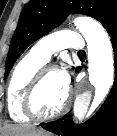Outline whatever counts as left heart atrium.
<instances>
[{
  "mask_svg": "<svg viewBox=\"0 0 117 136\" xmlns=\"http://www.w3.org/2000/svg\"><path fill=\"white\" fill-rule=\"evenodd\" d=\"M59 72V77H60V81L62 83V85L68 89L69 85H70V74L68 72L67 69H61L58 71Z\"/></svg>",
  "mask_w": 117,
  "mask_h": 136,
  "instance_id": "39dd6f15",
  "label": "left heart atrium"
}]
</instances>
